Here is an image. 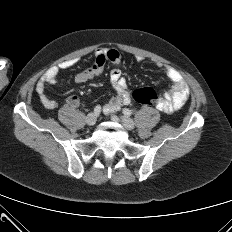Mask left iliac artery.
I'll list each match as a JSON object with an SVG mask.
<instances>
[{
  "label": "left iliac artery",
  "mask_w": 232,
  "mask_h": 232,
  "mask_svg": "<svg viewBox=\"0 0 232 232\" xmlns=\"http://www.w3.org/2000/svg\"><path fill=\"white\" fill-rule=\"evenodd\" d=\"M123 114L126 115V116H131L132 115V112L131 110L127 109V108H124L123 109Z\"/></svg>",
  "instance_id": "left-iliac-artery-1"
}]
</instances>
